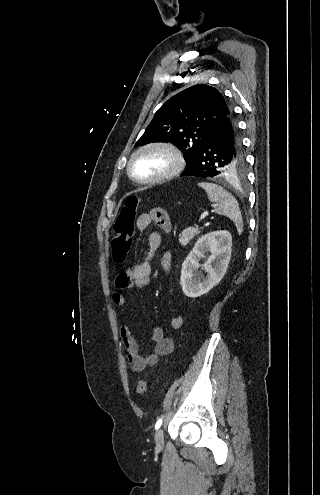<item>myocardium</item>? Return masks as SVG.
Instances as JSON below:
<instances>
[{
	"instance_id": "myocardium-1",
	"label": "myocardium",
	"mask_w": 320,
	"mask_h": 495,
	"mask_svg": "<svg viewBox=\"0 0 320 495\" xmlns=\"http://www.w3.org/2000/svg\"><path fill=\"white\" fill-rule=\"evenodd\" d=\"M150 151H161L166 153L171 159V166L167 171L163 172L162 174L156 177L147 178V179L139 178L133 172L132 169L133 163L140 154ZM183 167H184V158L182 156V153L176 146H174L169 142H151L137 148L131 154L127 162V173L129 177L138 184L154 185L165 182L177 176L182 171Z\"/></svg>"
}]
</instances>
